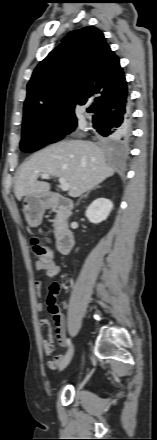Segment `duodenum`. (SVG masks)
Masks as SVG:
<instances>
[{"instance_id": "1", "label": "duodenum", "mask_w": 157, "mask_h": 440, "mask_svg": "<svg viewBox=\"0 0 157 440\" xmlns=\"http://www.w3.org/2000/svg\"><path fill=\"white\" fill-rule=\"evenodd\" d=\"M50 210L58 214L57 250L60 254H68L74 243V233L68 225L72 213V203L65 197L51 194L46 199Z\"/></svg>"}]
</instances>
